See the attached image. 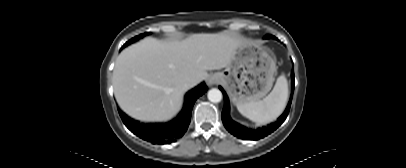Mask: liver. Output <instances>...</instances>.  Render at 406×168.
Returning <instances> with one entry per match:
<instances>
[{
    "instance_id": "6515ba94",
    "label": "liver",
    "mask_w": 406,
    "mask_h": 168,
    "mask_svg": "<svg viewBox=\"0 0 406 168\" xmlns=\"http://www.w3.org/2000/svg\"><path fill=\"white\" fill-rule=\"evenodd\" d=\"M245 43L225 33L192 34L181 41L144 38L116 59L115 98L137 120L167 121L181 109L184 93L207 79L208 70L227 67ZM190 78L195 82L187 87Z\"/></svg>"
}]
</instances>
